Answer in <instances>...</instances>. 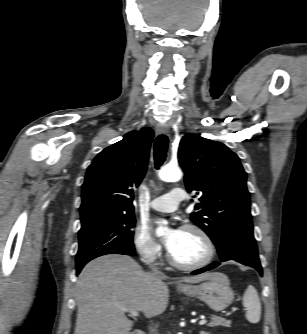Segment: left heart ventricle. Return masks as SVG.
I'll return each instance as SVG.
<instances>
[{"label": "left heart ventricle", "mask_w": 307, "mask_h": 334, "mask_svg": "<svg viewBox=\"0 0 307 334\" xmlns=\"http://www.w3.org/2000/svg\"><path fill=\"white\" fill-rule=\"evenodd\" d=\"M170 252L179 262L191 264L205 257L206 246L196 232L182 230L178 244Z\"/></svg>", "instance_id": "b2bd125f"}]
</instances>
